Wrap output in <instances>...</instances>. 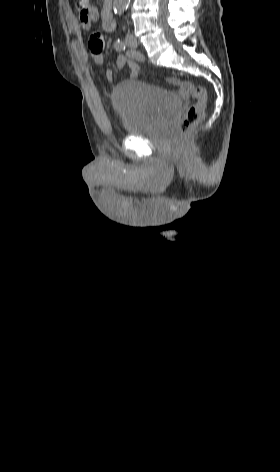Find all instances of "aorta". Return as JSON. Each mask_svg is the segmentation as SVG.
Wrapping results in <instances>:
<instances>
[{"mask_svg":"<svg viewBox=\"0 0 280 472\" xmlns=\"http://www.w3.org/2000/svg\"><path fill=\"white\" fill-rule=\"evenodd\" d=\"M129 3L130 0H114L113 9L116 13L121 14L127 9Z\"/></svg>","mask_w":280,"mask_h":472,"instance_id":"obj_1","label":"aorta"}]
</instances>
